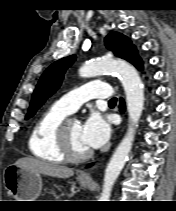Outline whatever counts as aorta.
I'll return each mask as SVG.
<instances>
[{"label":"aorta","mask_w":176,"mask_h":211,"mask_svg":"<svg viewBox=\"0 0 176 211\" xmlns=\"http://www.w3.org/2000/svg\"><path fill=\"white\" fill-rule=\"evenodd\" d=\"M114 72L120 77L124 87L129 115V128L113 153L104 174L103 188L99 201H109L112 188L123 169L134 141L135 128L138 126L144 105V88L136 69L123 61L102 58L85 63L79 69L81 77H95Z\"/></svg>","instance_id":"aorta-1"}]
</instances>
